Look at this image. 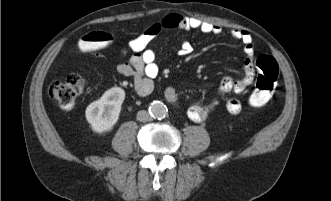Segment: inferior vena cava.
Listing matches in <instances>:
<instances>
[{
	"mask_svg": "<svg viewBox=\"0 0 331 201\" xmlns=\"http://www.w3.org/2000/svg\"><path fill=\"white\" fill-rule=\"evenodd\" d=\"M137 120L140 121V122H148V121L152 120V117H151V115L149 114L148 111L140 110L137 113Z\"/></svg>",
	"mask_w": 331,
	"mask_h": 201,
	"instance_id": "inferior-vena-cava-1",
	"label": "inferior vena cava"
}]
</instances>
